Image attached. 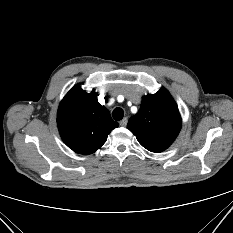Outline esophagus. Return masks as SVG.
Wrapping results in <instances>:
<instances>
[{
    "label": "esophagus",
    "mask_w": 233,
    "mask_h": 233,
    "mask_svg": "<svg viewBox=\"0 0 233 233\" xmlns=\"http://www.w3.org/2000/svg\"><path fill=\"white\" fill-rule=\"evenodd\" d=\"M127 122H128V119L125 117L119 122V124L120 126L125 127L127 125Z\"/></svg>",
    "instance_id": "34e87169"
}]
</instances>
